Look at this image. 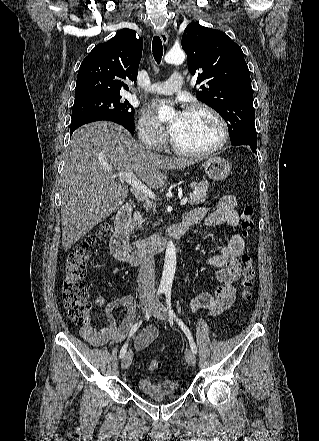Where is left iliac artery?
I'll return each instance as SVG.
<instances>
[{
  "label": "left iliac artery",
  "instance_id": "44dca946",
  "mask_svg": "<svg viewBox=\"0 0 319 441\" xmlns=\"http://www.w3.org/2000/svg\"><path fill=\"white\" fill-rule=\"evenodd\" d=\"M165 295H166V304H167V308H168L170 317L173 318L179 324V326L181 327V329L183 330V332L185 333V335L187 336V338L189 340L191 350L193 351V353L196 354L197 347H196V344L192 338V335H191L189 328L180 319H178V317L175 315L174 311L172 310L171 291L165 290Z\"/></svg>",
  "mask_w": 319,
  "mask_h": 441
}]
</instances>
